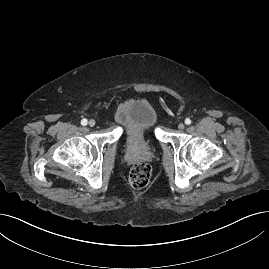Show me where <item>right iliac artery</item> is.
<instances>
[{
    "mask_svg": "<svg viewBox=\"0 0 269 269\" xmlns=\"http://www.w3.org/2000/svg\"><path fill=\"white\" fill-rule=\"evenodd\" d=\"M87 123H88L87 119L84 118L81 120V125L86 126Z\"/></svg>",
    "mask_w": 269,
    "mask_h": 269,
    "instance_id": "obj_1",
    "label": "right iliac artery"
}]
</instances>
